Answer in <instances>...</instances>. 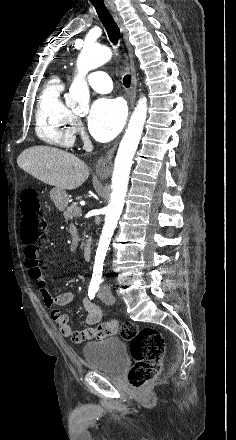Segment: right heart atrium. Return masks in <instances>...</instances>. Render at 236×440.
Listing matches in <instances>:
<instances>
[{
    "label": "right heart atrium",
    "mask_w": 236,
    "mask_h": 440,
    "mask_svg": "<svg viewBox=\"0 0 236 440\" xmlns=\"http://www.w3.org/2000/svg\"><path fill=\"white\" fill-rule=\"evenodd\" d=\"M75 129L78 133H81V123L79 120L75 121Z\"/></svg>",
    "instance_id": "d8ad5b80"
}]
</instances>
